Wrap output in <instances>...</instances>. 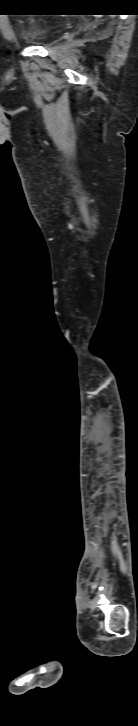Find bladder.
I'll return each mask as SVG.
<instances>
[{"mask_svg": "<svg viewBox=\"0 0 138 726\" xmlns=\"http://www.w3.org/2000/svg\"><path fill=\"white\" fill-rule=\"evenodd\" d=\"M27 30L29 33V39L41 43L46 41L52 33V30L49 27L40 24L36 20L28 21Z\"/></svg>", "mask_w": 138, "mask_h": 726, "instance_id": "31cf9c89", "label": "bladder"}]
</instances>
